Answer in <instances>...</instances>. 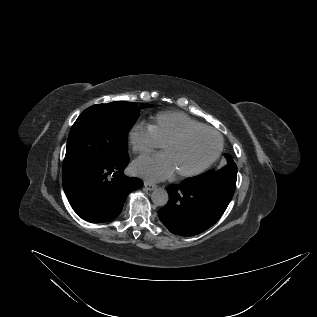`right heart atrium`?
I'll list each match as a JSON object with an SVG mask.
<instances>
[{
    "instance_id": "d8ad5b80",
    "label": "right heart atrium",
    "mask_w": 317,
    "mask_h": 317,
    "mask_svg": "<svg viewBox=\"0 0 317 317\" xmlns=\"http://www.w3.org/2000/svg\"><path fill=\"white\" fill-rule=\"evenodd\" d=\"M128 141L132 150L138 154H147L161 146L150 125L144 122L132 125L128 132Z\"/></svg>"
}]
</instances>
